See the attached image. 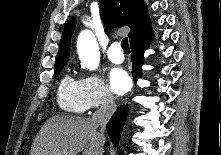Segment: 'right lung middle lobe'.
<instances>
[{"label":"right lung middle lobe","mask_w":221,"mask_h":155,"mask_svg":"<svg viewBox=\"0 0 221 155\" xmlns=\"http://www.w3.org/2000/svg\"><path fill=\"white\" fill-rule=\"evenodd\" d=\"M63 67H64V65L55 67L54 78H56V77L58 76L59 72L61 71V69H62Z\"/></svg>","instance_id":"right-lung-middle-lobe-1"}]
</instances>
